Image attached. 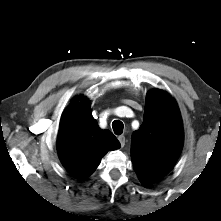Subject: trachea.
Here are the masks:
<instances>
[{
	"label": "trachea",
	"instance_id": "3493384b",
	"mask_svg": "<svg viewBox=\"0 0 221 221\" xmlns=\"http://www.w3.org/2000/svg\"><path fill=\"white\" fill-rule=\"evenodd\" d=\"M123 127V123L119 120H115L112 123V128L116 135H121L123 133Z\"/></svg>",
	"mask_w": 221,
	"mask_h": 221
}]
</instances>
